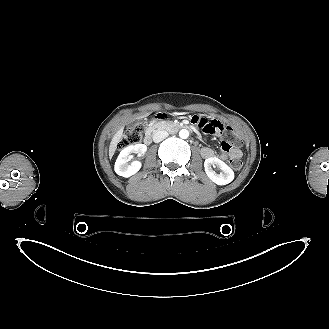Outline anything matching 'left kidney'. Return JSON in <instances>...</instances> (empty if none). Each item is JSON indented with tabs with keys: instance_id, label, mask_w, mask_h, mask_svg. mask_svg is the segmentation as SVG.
Instances as JSON below:
<instances>
[{
	"instance_id": "left-kidney-1",
	"label": "left kidney",
	"mask_w": 329,
	"mask_h": 329,
	"mask_svg": "<svg viewBox=\"0 0 329 329\" xmlns=\"http://www.w3.org/2000/svg\"><path fill=\"white\" fill-rule=\"evenodd\" d=\"M212 166H217L221 172L216 173ZM204 168L207 176L217 185H226L233 181L234 172L233 170L222 160L217 157L207 158L204 162Z\"/></svg>"
}]
</instances>
